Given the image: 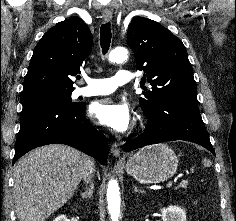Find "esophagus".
Returning <instances> with one entry per match:
<instances>
[{
  "mask_svg": "<svg viewBox=\"0 0 236 221\" xmlns=\"http://www.w3.org/2000/svg\"><path fill=\"white\" fill-rule=\"evenodd\" d=\"M102 17L105 22H108L112 19L113 15L110 10L106 9L103 11ZM110 151L114 157L116 158L120 157V147L117 144H112Z\"/></svg>",
  "mask_w": 236,
  "mask_h": 221,
  "instance_id": "1",
  "label": "esophagus"
}]
</instances>
